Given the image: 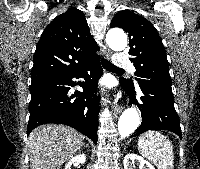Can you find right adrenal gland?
Wrapping results in <instances>:
<instances>
[{
	"instance_id": "1",
	"label": "right adrenal gland",
	"mask_w": 200,
	"mask_h": 169,
	"mask_svg": "<svg viewBox=\"0 0 200 169\" xmlns=\"http://www.w3.org/2000/svg\"><path fill=\"white\" fill-rule=\"evenodd\" d=\"M82 146H84V147H88V145H87V144H84V143H83V145H82Z\"/></svg>"
}]
</instances>
